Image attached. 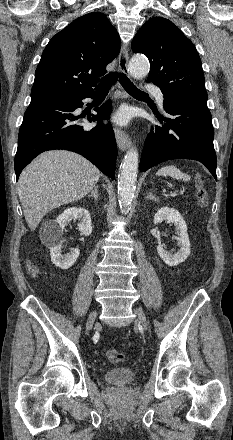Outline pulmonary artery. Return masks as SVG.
Returning <instances> with one entry per match:
<instances>
[{
	"label": "pulmonary artery",
	"instance_id": "pulmonary-artery-1",
	"mask_svg": "<svg viewBox=\"0 0 233 440\" xmlns=\"http://www.w3.org/2000/svg\"><path fill=\"white\" fill-rule=\"evenodd\" d=\"M146 90L153 93L155 95V97L157 98L158 102L161 105L163 104L164 95H163L162 91L157 86L148 85L146 87Z\"/></svg>",
	"mask_w": 233,
	"mask_h": 440
}]
</instances>
